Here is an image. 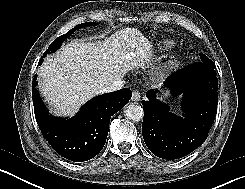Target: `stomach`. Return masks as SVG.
Here are the masks:
<instances>
[{"label":"stomach","instance_id":"obj_1","mask_svg":"<svg viewBox=\"0 0 245 189\" xmlns=\"http://www.w3.org/2000/svg\"><path fill=\"white\" fill-rule=\"evenodd\" d=\"M162 98L168 99V95L167 94H164V95H162Z\"/></svg>","mask_w":245,"mask_h":189}]
</instances>
